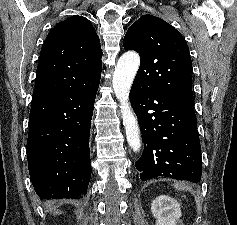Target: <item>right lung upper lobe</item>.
I'll list each match as a JSON object with an SVG mask.
<instances>
[{
    "label": "right lung upper lobe",
    "mask_w": 237,
    "mask_h": 225,
    "mask_svg": "<svg viewBox=\"0 0 237 225\" xmlns=\"http://www.w3.org/2000/svg\"><path fill=\"white\" fill-rule=\"evenodd\" d=\"M101 57L98 35L87 18L59 22L41 50L32 100L58 97L99 80Z\"/></svg>",
    "instance_id": "cb5924a9"
}]
</instances>
